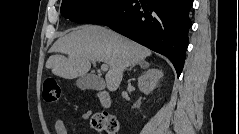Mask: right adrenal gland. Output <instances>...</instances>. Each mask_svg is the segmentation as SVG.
<instances>
[{
    "label": "right adrenal gland",
    "mask_w": 239,
    "mask_h": 134,
    "mask_svg": "<svg viewBox=\"0 0 239 134\" xmlns=\"http://www.w3.org/2000/svg\"><path fill=\"white\" fill-rule=\"evenodd\" d=\"M144 64H145L146 67L149 66V64L146 63V62H140V63H139V65H140L141 67H144ZM133 67H134V66H130V68H129L128 70H131Z\"/></svg>",
    "instance_id": "obj_1"
}]
</instances>
